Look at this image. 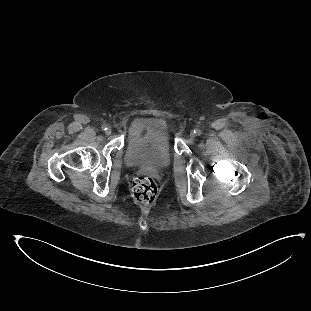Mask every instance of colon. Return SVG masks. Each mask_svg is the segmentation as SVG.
<instances>
[{
	"instance_id": "1",
	"label": "colon",
	"mask_w": 311,
	"mask_h": 311,
	"mask_svg": "<svg viewBox=\"0 0 311 311\" xmlns=\"http://www.w3.org/2000/svg\"><path fill=\"white\" fill-rule=\"evenodd\" d=\"M132 196L136 203L148 205L154 202L157 196V185L152 177L141 175L134 179Z\"/></svg>"
}]
</instances>
